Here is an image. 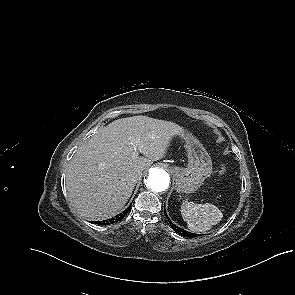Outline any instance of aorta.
<instances>
[{
  "mask_svg": "<svg viewBox=\"0 0 295 295\" xmlns=\"http://www.w3.org/2000/svg\"><path fill=\"white\" fill-rule=\"evenodd\" d=\"M170 183V175L167 170L154 167L149 170L148 177L146 179V186L154 192L165 191Z\"/></svg>",
  "mask_w": 295,
  "mask_h": 295,
  "instance_id": "obj_1",
  "label": "aorta"
}]
</instances>
